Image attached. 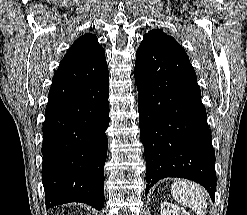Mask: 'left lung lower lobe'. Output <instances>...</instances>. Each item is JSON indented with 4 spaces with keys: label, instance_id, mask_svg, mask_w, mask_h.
<instances>
[{
    "label": "left lung lower lobe",
    "instance_id": "1",
    "mask_svg": "<svg viewBox=\"0 0 247 215\" xmlns=\"http://www.w3.org/2000/svg\"><path fill=\"white\" fill-rule=\"evenodd\" d=\"M140 138L146 159V191L165 177L193 180L214 201L215 151L196 73L187 54L143 40L136 52Z\"/></svg>",
    "mask_w": 247,
    "mask_h": 215
}]
</instances>
